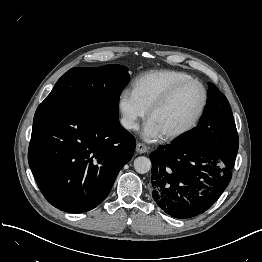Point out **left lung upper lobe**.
Instances as JSON below:
<instances>
[{
	"label": "left lung upper lobe",
	"mask_w": 262,
	"mask_h": 262,
	"mask_svg": "<svg viewBox=\"0 0 262 262\" xmlns=\"http://www.w3.org/2000/svg\"><path fill=\"white\" fill-rule=\"evenodd\" d=\"M221 136H238L227 98L208 83L207 104L199 125L178 141L185 144L217 147Z\"/></svg>",
	"instance_id": "1"
}]
</instances>
